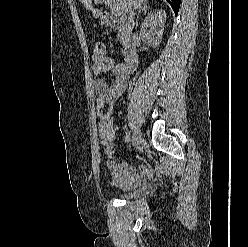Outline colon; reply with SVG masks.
I'll use <instances>...</instances> for the list:
<instances>
[{"instance_id": "obj_1", "label": "colon", "mask_w": 248, "mask_h": 247, "mask_svg": "<svg viewBox=\"0 0 248 247\" xmlns=\"http://www.w3.org/2000/svg\"><path fill=\"white\" fill-rule=\"evenodd\" d=\"M105 46L103 43L98 42L95 44V48H94V55L96 56V58L101 59L105 56Z\"/></svg>"}]
</instances>
